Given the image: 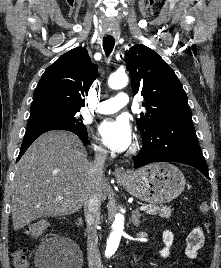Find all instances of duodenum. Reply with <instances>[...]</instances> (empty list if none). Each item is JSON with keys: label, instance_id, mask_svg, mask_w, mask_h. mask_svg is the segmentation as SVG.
Segmentation results:
<instances>
[{"label": "duodenum", "instance_id": "duodenum-1", "mask_svg": "<svg viewBox=\"0 0 221 268\" xmlns=\"http://www.w3.org/2000/svg\"><path fill=\"white\" fill-rule=\"evenodd\" d=\"M82 224V220H79L78 225L80 226Z\"/></svg>", "mask_w": 221, "mask_h": 268}]
</instances>
